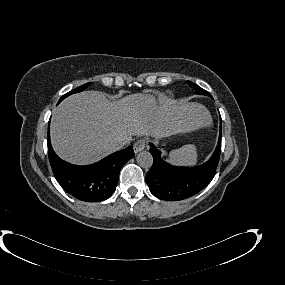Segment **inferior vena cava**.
<instances>
[{"label":"inferior vena cava","instance_id":"1","mask_svg":"<svg viewBox=\"0 0 285 285\" xmlns=\"http://www.w3.org/2000/svg\"><path fill=\"white\" fill-rule=\"evenodd\" d=\"M128 143V140L125 138H118L111 142L110 146L114 151L121 150Z\"/></svg>","mask_w":285,"mask_h":285}]
</instances>
